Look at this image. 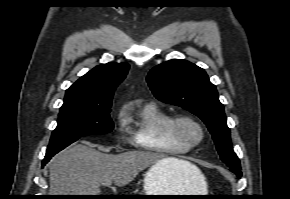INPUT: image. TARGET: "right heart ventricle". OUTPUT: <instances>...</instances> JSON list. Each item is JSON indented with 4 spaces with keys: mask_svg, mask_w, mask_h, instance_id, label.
Segmentation results:
<instances>
[{
    "mask_svg": "<svg viewBox=\"0 0 290 199\" xmlns=\"http://www.w3.org/2000/svg\"><path fill=\"white\" fill-rule=\"evenodd\" d=\"M172 116L157 105L148 103L135 115L126 118L127 129L133 144L142 150L164 156H179L190 148L182 145L167 133Z\"/></svg>",
    "mask_w": 290,
    "mask_h": 199,
    "instance_id": "e07e8e85",
    "label": "right heart ventricle"
}]
</instances>
